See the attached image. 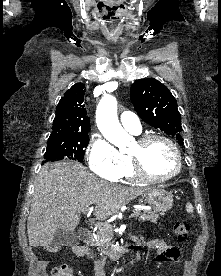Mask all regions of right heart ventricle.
Instances as JSON below:
<instances>
[{
  "label": "right heart ventricle",
  "instance_id": "1",
  "mask_svg": "<svg viewBox=\"0 0 221 276\" xmlns=\"http://www.w3.org/2000/svg\"><path fill=\"white\" fill-rule=\"evenodd\" d=\"M121 177H125L130 180L137 179V177L134 174L133 166L129 156H124V168Z\"/></svg>",
  "mask_w": 221,
  "mask_h": 276
}]
</instances>
